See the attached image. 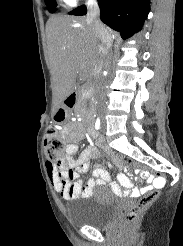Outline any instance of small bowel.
Wrapping results in <instances>:
<instances>
[{"mask_svg":"<svg viewBox=\"0 0 183 246\" xmlns=\"http://www.w3.org/2000/svg\"><path fill=\"white\" fill-rule=\"evenodd\" d=\"M63 132L67 138L71 141L66 146V162L61 167L55 166L50 162L46 163V170L50 182L54 189L64 198L65 200L72 201L80 198H87L91 196L92 190L96 185H104L110 183L114 192L118 195H132L138 196L150 191L154 187L164 185L163 174H150L147 176L146 183H152L146 185L139 190L132 189V183L129 177L120 173L117 177L118 183L111 182L109 173L103 168L96 167L92 171V178L84 183L80 178L81 174L89 168L90 159L98 155L97 151L93 147L85 149L79 157L74 160L71 157L77 152L78 145L76 143L82 136V131H69L63 128ZM100 146V144H98ZM106 146V145H105ZM128 168L125 171L128 172Z\"/></svg>","mask_w":183,"mask_h":246,"instance_id":"c3829d8e","label":"small bowel"}]
</instances>
